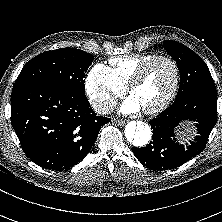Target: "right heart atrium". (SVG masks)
I'll return each instance as SVG.
<instances>
[{"label":"right heart atrium","instance_id":"right-heart-atrium-1","mask_svg":"<svg viewBox=\"0 0 222 222\" xmlns=\"http://www.w3.org/2000/svg\"><path fill=\"white\" fill-rule=\"evenodd\" d=\"M85 88L90 104L101 114L107 113L126 90L104 64H95L89 70Z\"/></svg>","mask_w":222,"mask_h":222}]
</instances>
